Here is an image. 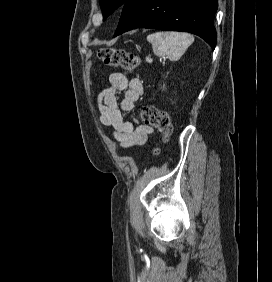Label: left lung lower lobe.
Listing matches in <instances>:
<instances>
[{"label": "left lung lower lobe", "mask_w": 272, "mask_h": 282, "mask_svg": "<svg viewBox=\"0 0 272 282\" xmlns=\"http://www.w3.org/2000/svg\"><path fill=\"white\" fill-rule=\"evenodd\" d=\"M217 0H127L114 37L136 28L191 32L214 49Z\"/></svg>", "instance_id": "1"}]
</instances>
